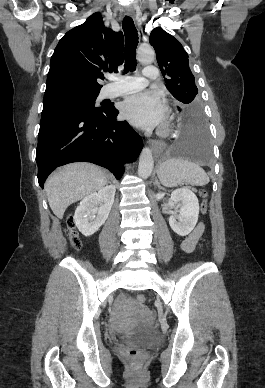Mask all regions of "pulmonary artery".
<instances>
[{
  "label": "pulmonary artery",
  "instance_id": "e3ab8cb5",
  "mask_svg": "<svg viewBox=\"0 0 265 388\" xmlns=\"http://www.w3.org/2000/svg\"><path fill=\"white\" fill-rule=\"evenodd\" d=\"M144 74L147 76L146 79H142L140 75L136 77L133 75H115V82L118 83H113V90L110 94L112 96L123 95L126 92L128 94H140L143 86H147L149 82H156L158 79L155 64H146Z\"/></svg>",
  "mask_w": 265,
  "mask_h": 388
}]
</instances>
